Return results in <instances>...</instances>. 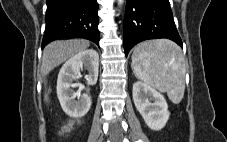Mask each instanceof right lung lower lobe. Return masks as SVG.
Returning <instances> with one entry per match:
<instances>
[{"instance_id": "right-lung-lower-lobe-1", "label": "right lung lower lobe", "mask_w": 227, "mask_h": 142, "mask_svg": "<svg viewBox=\"0 0 227 142\" xmlns=\"http://www.w3.org/2000/svg\"><path fill=\"white\" fill-rule=\"evenodd\" d=\"M98 7L96 0H47L42 48L65 38H85L99 46Z\"/></svg>"}]
</instances>
